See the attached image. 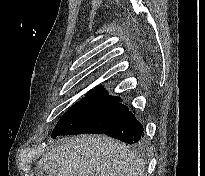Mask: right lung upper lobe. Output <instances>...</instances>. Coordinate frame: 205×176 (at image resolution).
<instances>
[{
    "label": "right lung upper lobe",
    "mask_w": 205,
    "mask_h": 176,
    "mask_svg": "<svg viewBox=\"0 0 205 176\" xmlns=\"http://www.w3.org/2000/svg\"><path fill=\"white\" fill-rule=\"evenodd\" d=\"M87 94L108 96L107 91H105L104 88H102V87H96V88L90 90ZM113 98H118L119 99V97H113Z\"/></svg>",
    "instance_id": "obj_1"
}]
</instances>
